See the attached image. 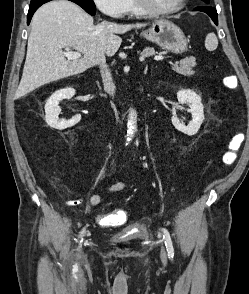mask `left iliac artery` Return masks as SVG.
Returning <instances> with one entry per match:
<instances>
[{
  "mask_svg": "<svg viewBox=\"0 0 249 294\" xmlns=\"http://www.w3.org/2000/svg\"><path fill=\"white\" fill-rule=\"evenodd\" d=\"M162 232H163V239L165 242V246L168 252V257L172 259L174 257V248H173L172 240L170 237V233L166 228H162Z\"/></svg>",
  "mask_w": 249,
  "mask_h": 294,
  "instance_id": "44dca946",
  "label": "left iliac artery"
}]
</instances>
